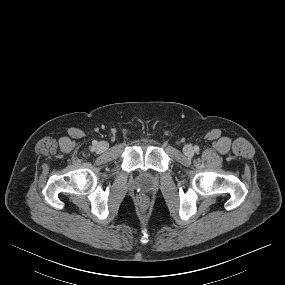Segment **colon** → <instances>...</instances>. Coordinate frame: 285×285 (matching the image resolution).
<instances>
[{"label": "colon", "instance_id": "1", "mask_svg": "<svg viewBox=\"0 0 285 285\" xmlns=\"http://www.w3.org/2000/svg\"><path fill=\"white\" fill-rule=\"evenodd\" d=\"M140 203H141L142 206H145L147 201H146V199L144 197H141Z\"/></svg>", "mask_w": 285, "mask_h": 285}]
</instances>
